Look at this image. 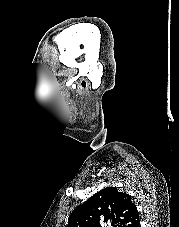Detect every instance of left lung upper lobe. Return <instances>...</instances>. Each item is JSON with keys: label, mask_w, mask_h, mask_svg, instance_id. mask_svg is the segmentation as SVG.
Segmentation results:
<instances>
[{"label": "left lung upper lobe", "mask_w": 179, "mask_h": 227, "mask_svg": "<svg viewBox=\"0 0 179 227\" xmlns=\"http://www.w3.org/2000/svg\"><path fill=\"white\" fill-rule=\"evenodd\" d=\"M139 227V217L131 197L115 187L100 190L79 205L66 227Z\"/></svg>", "instance_id": "left-lung-upper-lobe-1"}]
</instances>
